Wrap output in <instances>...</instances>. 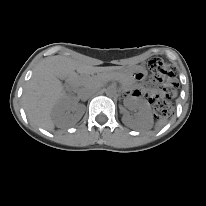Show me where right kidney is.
Listing matches in <instances>:
<instances>
[{
    "mask_svg": "<svg viewBox=\"0 0 206 206\" xmlns=\"http://www.w3.org/2000/svg\"><path fill=\"white\" fill-rule=\"evenodd\" d=\"M79 115V108L71 98L62 99L52 113L53 119L57 122H66L71 119L76 120Z\"/></svg>",
    "mask_w": 206,
    "mask_h": 206,
    "instance_id": "ca27d5eb",
    "label": "right kidney"
}]
</instances>
